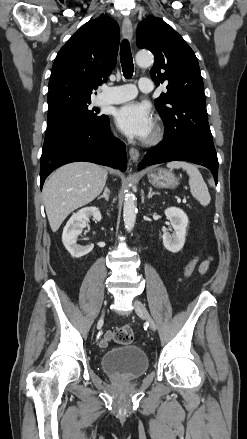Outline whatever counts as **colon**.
<instances>
[{
	"mask_svg": "<svg viewBox=\"0 0 247 439\" xmlns=\"http://www.w3.org/2000/svg\"><path fill=\"white\" fill-rule=\"evenodd\" d=\"M198 255H195L185 266L184 272H183V278L189 277L196 267V264L198 262ZM115 342L122 345H127L132 343L134 340V332L132 328L129 325H124L119 328H117L113 334Z\"/></svg>",
	"mask_w": 247,
	"mask_h": 439,
	"instance_id": "5ec220e1",
	"label": "colon"
}]
</instances>
